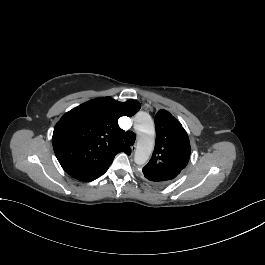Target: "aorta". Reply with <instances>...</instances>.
Here are the masks:
<instances>
[{
	"label": "aorta",
	"instance_id": "762f6f07",
	"mask_svg": "<svg viewBox=\"0 0 265 265\" xmlns=\"http://www.w3.org/2000/svg\"><path fill=\"white\" fill-rule=\"evenodd\" d=\"M139 139L134 155V161L138 165L145 164L154 148V123L150 115L139 112L136 117Z\"/></svg>",
	"mask_w": 265,
	"mask_h": 265
}]
</instances>
